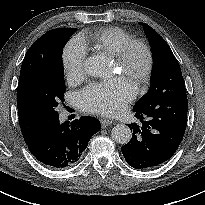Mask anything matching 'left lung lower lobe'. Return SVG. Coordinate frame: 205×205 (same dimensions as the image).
Here are the masks:
<instances>
[{
    "label": "left lung lower lobe",
    "mask_w": 205,
    "mask_h": 205,
    "mask_svg": "<svg viewBox=\"0 0 205 205\" xmlns=\"http://www.w3.org/2000/svg\"><path fill=\"white\" fill-rule=\"evenodd\" d=\"M187 94H176L134 110L140 123L129 125L133 136L121 150L136 169L158 166L178 149L187 125Z\"/></svg>",
    "instance_id": "obj_1"
}]
</instances>
